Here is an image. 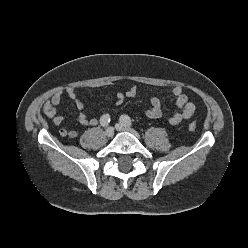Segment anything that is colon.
<instances>
[{
	"label": "colon",
	"instance_id": "1",
	"mask_svg": "<svg viewBox=\"0 0 248 248\" xmlns=\"http://www.w3.org/2000/svg\"><path fill=\"white\" fill-rule=\"evenodd\" d=\"M188 129H189L190 131H195V129H196V124H195L194 122L189 123Z\"/></svg>",
	"mask_w": 248,
	"mask_h": 248
}]
</instances>
